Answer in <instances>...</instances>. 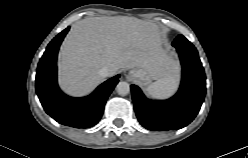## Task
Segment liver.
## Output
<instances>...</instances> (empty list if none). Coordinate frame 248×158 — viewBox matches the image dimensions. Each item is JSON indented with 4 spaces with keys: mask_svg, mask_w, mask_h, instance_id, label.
Instances as JSON below:
<instances>
[{
    "mask_svg": "<svg viewBox=\"0 0 248 158\" xmlns=\"http://www.w3.org/2000/svg\"><path fill=\"white\" fill-rule=\"evenodd\" d=\"M159 28L134 17H91L76 22L59 52V82L68 94L90 93L102 81L99 70L110 75L142 68L153 79L175 71V63L162 49Z\"/></svg>",
    "mask_w": 248,
    "mask_h": 158,
    "instance_id": "6515ba94",
    "label": "liver"
}]
</instances>
